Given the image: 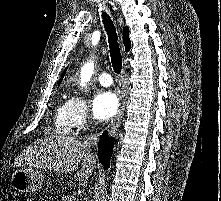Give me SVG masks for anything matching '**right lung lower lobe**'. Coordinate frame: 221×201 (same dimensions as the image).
Instances as JSON below:
<instances>
[{
    "label": "right lung lower lobe",
    "mask_w": 221,
    "mask_h": 201,
    "mask_svg": "<svg viewBox=\"0 0 221 201\" xmlns=\"http://www.w3.org/2000/svg\"><path fill=\"white\" fill-rule=\"evenodd\" d=\"M107 132H104L99 140L98 144V158L105 168L109 167L110 158L113 151L114 139L107 137Z\"/></svg>",
    "instance_id": "right-lung-lower-lobe-1"
}]
</instances>
